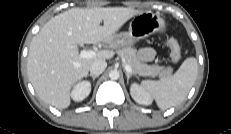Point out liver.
<instances>
[{
    "label": "liver",
    "instance_id": "1",
    "mask_svg": "<svg viewBox=\"0 0 231 134\" xmlns=\"http://www.w3.org/2000/svg\"><path fill=\"white\" fill-rule=\"evenodd\" d=\"M140 13L124 7L72 8L51 18L29 47L27 73L37 95L58 109L67 108L71 87L88 75L91 64L114 56L101 50L92 58H80L77 45L105 42L114 47L116 32Z\"/></svg>",
    "mask_w": 231,
    "mask_h": 134
}]
</instances>
